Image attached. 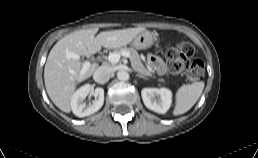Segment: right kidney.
Wrapping results in <instances>:
<instances>
[{
  "label": "right kidney",
  "mask_w": 258,
  "mask_h": 158,
  "mask_svg": "<svg viewBox=\"0 0 258 158\" xmlns=\"http://www.w3.org/2000/svg\"><path fill=\"white\" fill-rule=\"evenodd\" d=\"M94 96L92 104L86 105L83 100L88 96ZM104 103V89H93L89 84L80 87L73 95L70 101L72 112L77 117H85L97 112Z\"/></svg>",
  "instance_id": "obj_1"
}]
</instances>
